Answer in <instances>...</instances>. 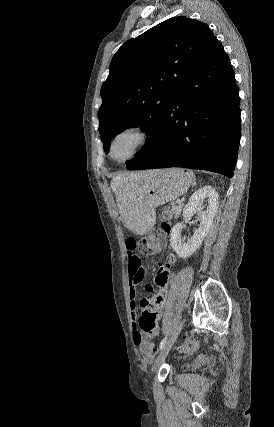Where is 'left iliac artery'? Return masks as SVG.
I'll return each instance as SVG.
<instances>
[{
  "label": "left iliac artery",
  "mask_w": 274,
  "mask_h": 427,
  "mask_svg": "<svg viewBox=\"0 0 274 427\" xmlns=\"http://www.w3.org/2000/svg\"><path fill=\"white\" fill-rule=\"evenodd\" d=\"M166 342H167V336H165V337L162 339V341H161V343H160V345H159V349H158V351L162 350V348L164 347V345L166 344Z\"/></svg>",
  "instance_id": "left-iliac-artery-1"
}]
</instances>
